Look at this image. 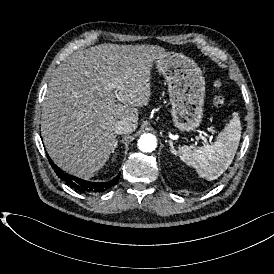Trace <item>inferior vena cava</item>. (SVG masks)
Listing matches in <instances>:
<instances>
[{"label":"inferior vena cava","mask_w":274,"mask_h":274,"mask_svg":"<svg viewBox=\"0 0 274 274\" xmlns=\"http://www.w3.org/2000/svg\"><path fill=\"white\" fill-rule=\"evenodd\" d=\"M136 125H134L130 120L117 121L115 124V133L122 134L134 131Z\"/></svg>","instance_id":"obj_1"}]
</instances>
